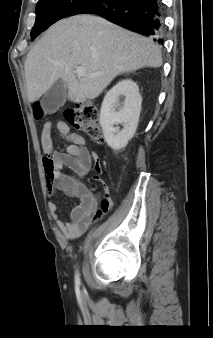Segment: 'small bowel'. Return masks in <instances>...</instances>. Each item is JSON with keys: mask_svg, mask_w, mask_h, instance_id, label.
Returning a JSON list of instances; mask_svg holds the SVG:
<instances>
[{"mask_svg": "<svg viewBox=\"0 0 213 338\" xmlns=\"http://www.w3.org/2000/svg\"><path fill=\"white\" fill-rule=\"evenodd\" d=\"M53 124L46 122L41 133L43 148V171L47 193L50 197L62 191L66 196L77 200L70 215V220H64L57 214L58 205L54 202L49 204V210L58 229L68 239L79 237L90 223L98 220L96 206L99 202V195L92 192L78 178L60 173L51 178L47 173L49 163L52 162L56 169L62 170L67 167L74 171L79 177H83L91 170L93 163L97 169L100 168L98 156L91 153L85 146V139L82 135L71 132L65 122H57L55 129L62 139L69 142L66 152H59L54 148ZM112 206V199L106 194L105 198ZM103 199V200H104ZM102 200V201H103ZM101 201V202H102Z\"/></svg>", "mask_w": 213, "mask_h": 338, "instance_id": "obj_1", "label": "small bowel"}]
</instances>
